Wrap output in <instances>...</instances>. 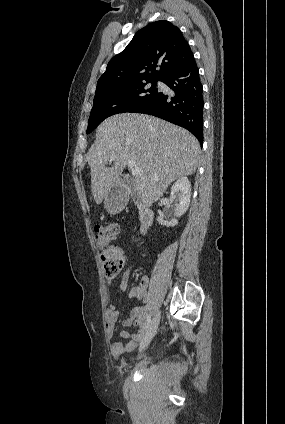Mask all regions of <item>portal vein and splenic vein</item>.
<instances>
[{"instance_id":"portal-vein-and-splenic-vein-1","label":"portal vein and splenic vein","mask_w":285,"mask_h":424,"mask_svg":"<svg viewBox=\"0 0 285 424\" xmlns=\"http://www.w3.org/2000/svg\"><path fill=\"white\" fill-rule=\"evenodd\" d=\"M111 160H114V157L111 158ZM128 166L131 169V174L133 177H138L141 173V168L138 167L134 161H128Z\"/></svg>"}]
</instances>
